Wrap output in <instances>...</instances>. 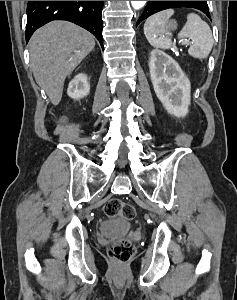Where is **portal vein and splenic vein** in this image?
Returning <instances> with one entry per match:
<instances>
[{"instance_id":"obj_1","label":"portal vein and splenic vein","mask_w":237,"mask_h":300,"mask_svg":"<svg viewBox=\"0 0 237 300\" xmlns=\"http://www.w3.org/2000/svg\"><path fill=\"white\" fill-rule=\"evenodd\" d=\"M183 45H191V43H189V41H182Z\"/></svg>"}]
</instances>
